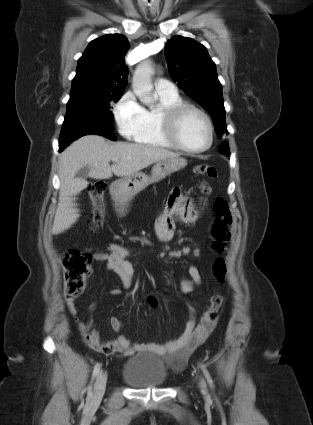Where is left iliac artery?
I'll return each instance as SVG.
<instances>
[{"instance_id":"1","label":"left iliac artery","mask_w":313,"mask_h":425,"mask_svg":"<svg viewBox=\"0 0 313 425\" xmlns=\"http://www.w3.org/2000/svg\"><path fill=\"white\" fill-rule=\"evenodd\" d=\"M201 368H202V371H203V373H204V375H205V377H206V379H207V381H208L209 385H210L211 387H213V381H212V378H211V376H210V374H209L208 370L206 369L205 365L201 364Z\"/></svg>"}]
</instances>
